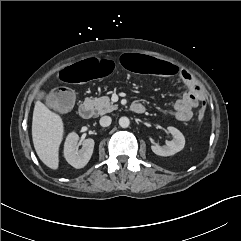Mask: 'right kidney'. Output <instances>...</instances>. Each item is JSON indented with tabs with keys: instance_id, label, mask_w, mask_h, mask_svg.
<instances>
[{
	"instance_id": "obj_1",
	"label": "right kidney",
	"mask_w": 241,
	"mask_h": 241,
	"mask_svg": "<svg viewBox=\"0 0 241 241\" xmlns=\"http://www.w3.org/2000/svg\"><path fill=\"white\" fill-rule=\"evenodd\" d=\"M80 145H82V148L78 149ZM93 149V139H80L78 134L72 132L67 136L65 141L64 157L71 166L80 169L89 162Z\"/></svg>"
}]
</instances>
